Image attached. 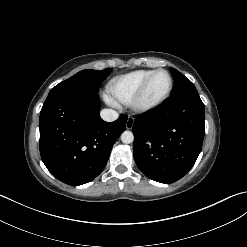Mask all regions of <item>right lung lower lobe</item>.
Instances as JSON below:
<instances>
[{
	"mask_svg": "<svg viewBox=\"0 0 247 247\" xmlns=\"http://www.w3.org/2000/svg\"><path fill=\"white\" fill-rule=\"evenodd\" d=\"M97 93L48 95L40 112V154L60 181L77 186L96 178L125 130L127 116L104 122Z\"/></svg>",
	"mask_w": 247,
	"mask_h": 247,
	"instance_id": "98d812e1",
	"label": "right lung lower lobe"
}]
</instances>
